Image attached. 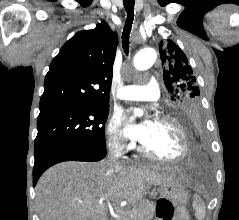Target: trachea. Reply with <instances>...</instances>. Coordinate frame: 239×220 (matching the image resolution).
<instances>
[{
	"instance_id": "trachea-1",
	"label": "trachea",
	"mask_w": 239,
	"mask_h": 220,
	"mask_svg": "<svg viewBox=\"0 0 239 220\" xmlns=\"http://www.w3.org/2000/svg\"><path fill=\"white\" fill-rule=\"evenodd\" d=\"M134 3L135 0H124V7L127 12V18L125 26L122 33V44L126 54H128L129 49V34L132 27V22L134 18Z\"/></svg>"
}]
</instances>
